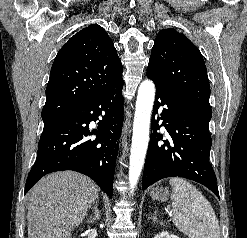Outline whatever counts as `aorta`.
<instances>
[{
  "instance_id": "aorta-1",
  "label": "aorta",
  "mask_w": 247,
  "mask_h": 238,
  "mask_svg": "<svg viewBox=\"0 0 247 238\" xmlns=\"http://www.w3.org/2000/svg\"><path fill=\"white\" fill-rule=\"evenodd\" d=\"M155 98V85L143 81L138 89L133 123L132 146L129 163V184L133 192L141 174L149 143L150 119Z\"/></svg>"
}]
</instances>
